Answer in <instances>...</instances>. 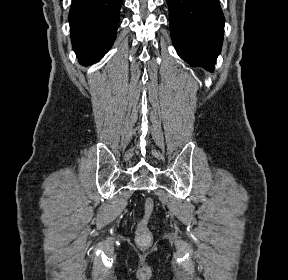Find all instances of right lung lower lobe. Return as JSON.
Masks as SVG:
<instances>
[{"label":"right lung lower lobe","instance_id":"right-lung-lower-lobe-1","mask_svg":"<svg viewBox=\"0 0 288 280\" xmlns=\"http://www.w3.org/2000/svg\"><path fill=\"white\" fill-rule=\"evenodd\" d=\"M122 0H72L69 12L72 46L83 65L99 61L112 46Z\"/></svg>","mask_w":288,"mask_h":280}]
</instances>
